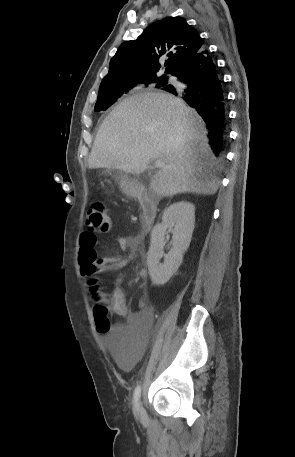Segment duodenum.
<instances>
[{
    "mask_svg": "<svg viewBox=\"0 0 295 457\" xmlns=\"http://www.w3.org/2000/svg\"><path fill=\"white\" fill-rule=\"evenodd\" d=\"M133 195L138 199L141 204V236H145L152 228L156 213L157 206L155 202L149 197L147 192L141 188H136Z\"/></svg>",
    "mask_w": 295,
    "mask_h": 457,
    "instance_id": "1",
    "label": "duodenum"
}]
</instances>
